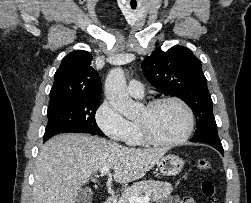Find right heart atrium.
Instances as JSON below:
<instances>
[{"label": "right heart atrium", "mask_w": 251, "mask_h": 203, "mask_svg": "<svg viewBox=\"0 0 251 203\" xmlns=\"http://www.w3.org/2000/svg\"><path fill=\"white\" fill-rule=\"evenodd\" d=\"M95 121L99 129L113 141H125L131 130V123L108 100H104L96 110Z\"/></svg>", "instance_id": "right-heart-atrium-1"}]
</instances>
